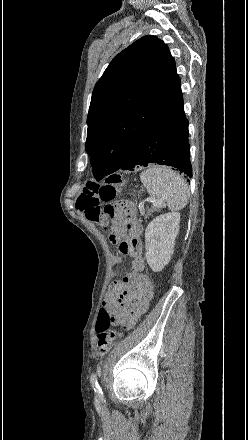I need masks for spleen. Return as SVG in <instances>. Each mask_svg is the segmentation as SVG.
Segmentation results:
<instances>
[{"instance_id":"obj_1","label":"spleen","mask_w":248,"mask_h":440,"mask_svg":"<svg viewBox=\"0 0 248 440\" xmlns=\"http://www.w3.org/2000/svg\"><path fill=\"white\" fill-rule=\"evenodd\" d=\"M148 194L157 202H165L172 211L183 209L189 199V190L182 177L175 171L153 166L140 174Z\"/></svg>"}]
</instances>
